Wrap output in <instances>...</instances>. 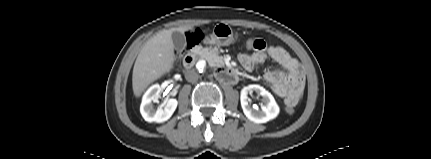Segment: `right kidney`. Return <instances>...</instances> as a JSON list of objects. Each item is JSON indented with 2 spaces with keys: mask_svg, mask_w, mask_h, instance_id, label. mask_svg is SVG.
Returning <instances> with one entry per match:
<instances>
[{
  "mask_svg": "<svg viewBox=\"0 0 431 159\" xmlns=\"http://www.w3.org/2000/svg\"><path fill=\"white\" fill-rule=\"evenodd\" d=\"M161 87L159 84L151 86L142 98L140 112L142 117L147 122H165L167 121L177 108L178 101L176 99H168L164 104L155 110L153 103L158 101Z\"/></svg>",
  "mask_w": 431,
  "mask_h": 159,
  "instance_id": "ca27d5eb",
  "label": "right kidney"
}]
</instances>
